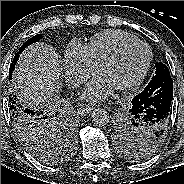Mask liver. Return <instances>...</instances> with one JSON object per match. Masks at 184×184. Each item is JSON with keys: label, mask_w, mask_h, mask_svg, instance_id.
Returning a JSON list of instances; mask_svg holds the SVG:
<instances>
[{"label": "liver", "mask_w": 184, "mask_h": 184, "mask_svg": "<svg viewBox=\"0 0 184 184\" xmlns=\"http://www.w3.org/2000/svg\"><path fill=\"white\" fill-rule=\"evenodd\" d=\"M61 71L55 49L42 42L35 43L21 54L16 64L12 91L28 105L44 107L60 92Z\"/></svg>", "instance_id": "1"}]
</instances>
